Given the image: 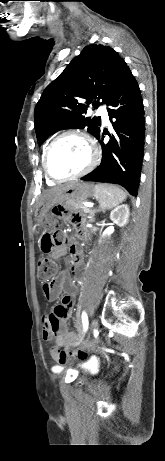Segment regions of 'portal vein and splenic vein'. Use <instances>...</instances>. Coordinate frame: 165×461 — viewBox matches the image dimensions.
<instances>
[{
  "label": "portal vein and splenic vein",
  "mask_w": 165,
  "mask_h": 461,
  "mask_svg": "<svg viewBox=\"0 0 165 461\" xmlns=\"http://www.w3.org/2000/svg\"><path fill=\"white\" fill-rule=\"evenodd\" d=\"M83 204H84V206H85L88 210L91 209V208L93 207V205H94V204L91 203V202H86V203H83ZM88 210H87V211H88Z\"/></svg>",
  "instance_id": "18ae733b"
}]
</instances>
